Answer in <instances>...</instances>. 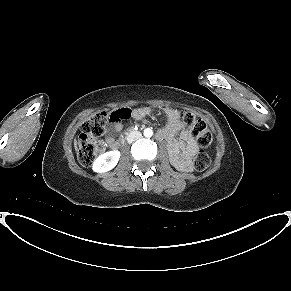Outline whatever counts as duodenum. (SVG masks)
<instances>
[{
	"label": "duodenum",
	"mask_w": 291,
	"mask_h": 291,
	"mask_svg": "<svg viewBox=\"0 0 291 291\" xmlns=\"http://www.w3.org/2000/svg\"><path fill=\"white\" fill-rule=\"evenodd\" d=\"M134 130H137V127H134V128H131V131H127L125 132V135H128L130 134V132L132 133ZM123 138V135H120L119 136V139H122ZM119 145V143L116 144V147Z\"/></svg>",
	"instance_id": "obj_1"
}]
</instances>
